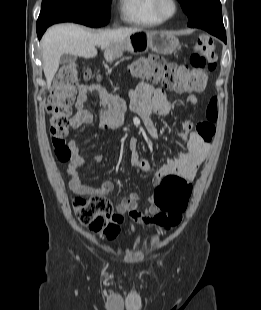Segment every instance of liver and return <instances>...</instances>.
Instances as JSON below:
<instances>
[{
	"label": "liver",
	"instance_id": "liver-1",
	"mask_svg": "<svg viewBox=\"0 0 261 310\" xmlns=\"http://www.w3.org/2000/svg\"><path fill=\"white\" fill-rule=\"evenodd\" d=\"M138 31L141 29L122 28L92 33L75 24L51 27L42 38L43 70L47 87L51 86L63 54L93 58L97 56L96 46H101L106 53L112 44L121 42Z\"/></svg>",
	"mask_w": 261,
	"mask_h": 310
}]
</instances>
